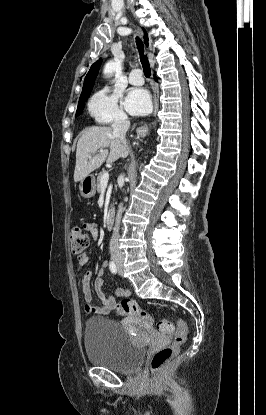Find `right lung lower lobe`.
Returning a JSON list of instances; mask_svg holds the SVG:
<instances>
[{
	"mask_svg": "<svg viewBox=\"0 0 266 415\" xmlns=\"http://www.w3.org/2000/svg\"><path fill=\"white\" fill-rule=\"evenodd\" d=\"M155 80H157L156 76H154Z\"/></svg>",
	"mask_w": 266,
	"mask_h": 415,
	"instance_id": "1",
	"label": "right lung lower lobe"
}]
</instances>
